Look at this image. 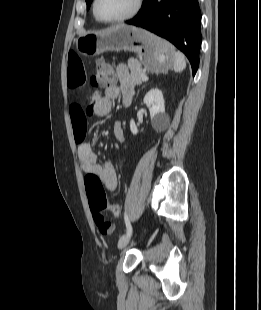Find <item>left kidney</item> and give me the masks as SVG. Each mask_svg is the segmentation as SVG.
Segmentation results:
<instances>
[{"label": "left kidney", "mask_w": 261, "mask_h": 310, "mask_svg": "<svg viewBox=\"0 0 261 310\" xmlns=\"http://www.w3.org/2000/svg\"><path fill=\"white\" fill-rule=\"evenodd\" d=\"M143 101L150 111L152 126L156 130L163 129L167 125L169 118L165 113L162 91L157 88L151 89L145 95ZM130 130L134 135L138 133V128L133 119L130 121Z\"/></svg>", "instance_id": "left-kidney-1"}]
</instances>
